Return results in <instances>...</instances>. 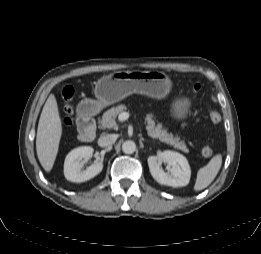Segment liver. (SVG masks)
<instances>
[{
	"instance_id": "1",
	"label": "liver",
	"mask_w": 261,
	"mask_h": 254,
	"mask_svg": "<svg viewBox=\"0 0 261 254\" xmlns=\"http://www.w3.org/2000/svg\"><path fill=\"white\" fill-rule=\"evenodd\" d=\"M62 136V122L56 98L50 94L40 115L36 151L40 164L46 172L53 168Z\"/></svg>"
}]
</instances>
